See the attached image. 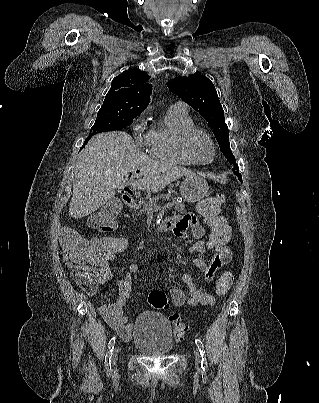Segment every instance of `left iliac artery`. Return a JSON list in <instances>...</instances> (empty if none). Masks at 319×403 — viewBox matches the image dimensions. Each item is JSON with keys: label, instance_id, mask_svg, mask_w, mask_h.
Listing matches in <instances>:
<instances>
[{"label": "left iliac artery", "instance_id": "1", "mask_svg": "<svg viewBox=\"0 0 319 403\" xmlns=\"http://www.w3.org/2000/svg\"><path fill=\"white\" fill-rule=\"evenodd\" d=\"M195 343H196V345H197V347H198V349L200 351V355H201V358H202V360H201V368L203 370H205V369L208 368V365H207V359H206V353H205L204 345H203V343H202V341L200 339H195Z\"/></svg>", "mask_w": 319, "mask_h": 403}]
</instances>
